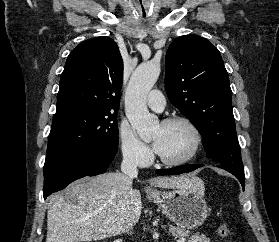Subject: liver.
I'll return each instance as SVG.
<instances>
[{
  "instance_id": "6515ba94",
  "label": "liver",
  "mask_w": 279,
  "mask_h": 242,
  "mask_svg": "<svg viewBox=\"0 0 279 242\" xmlns=\"http://www.w3.org/2000/svg\"><path fill=\"white\" fill-rule=\"evenodd\" d=\"M150 184L160 188H187L203 193V182L194 177H154ZM131 183L120 172H110L72 183L65 194L49 199L46 242H88L122 234L126 231V219L139 221L141 193L132 189Z\"/></svg>"
}]
</instances>
